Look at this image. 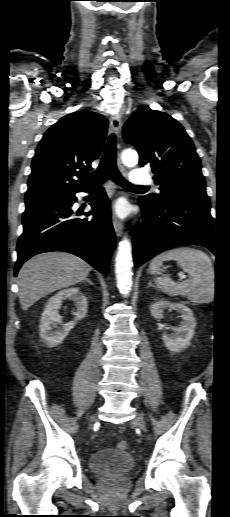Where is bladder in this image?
Returning a JSON list of instances; mask_svg holds the SVG:
<instances>
[{"instance_id": "bladder-1", "label": "bladder", "mask_w": 230, "mask_h": 517, "mask_svg": "<svg viewBox=\"0 0 230 517\" xmlns=\"http://www.w3.org/2000/svg\"><path fill=\"white\" fill-rule=\"evenodd\" d=\"M135 465L134 457L126 452L106 448L90 456L89 467L98 474H124Z\"/></svg>"}]
</instances>
